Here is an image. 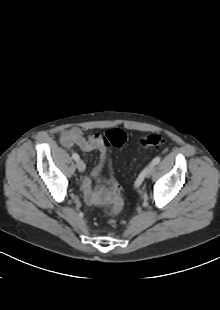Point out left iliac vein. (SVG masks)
Returning a JSON list of instances; mask_svg holds the SVG:
<instances>
[{
    "label": "left iliac vein",
    "instance_id": "left-iliac-vein-1",
    "mask_svg": "<svg viewBox=\"0 0 220 310\" xmlns=\"http://www.w3.org/2000/svg\"><path fill=\"white\" fill-rule=\"evenodd\" d=\"M153 169H154V166L150 167L145 173V177L149 178L152 175Z\"/></svg>",
    "mask_w": 220,
    "mask_h": 310
}]
</instances>
